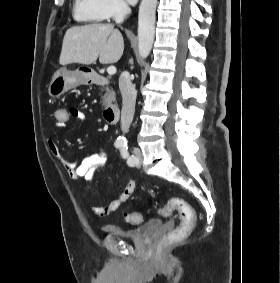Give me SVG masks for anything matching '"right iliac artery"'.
Listing matches in <instances>:
<instances>
[{"label": "right iliac artery", "instance_id": "obj_1", "mask_svg": "<svg viewBox=\"0 0 280 283\" xmlns=\"http://www.w3.org/2000/svg\"><path fill=\"white\" fill-rule=\"evenodd\" d=\"M123 145H124V144H123L122 142H120V141H118V142L115 143V146H116L117 148H121Z\"/></svg>", "mask_w": 280, "mask_h": 283}]
</instances>
